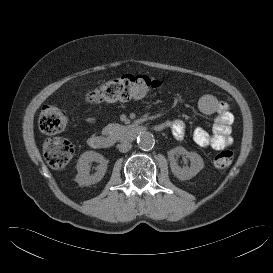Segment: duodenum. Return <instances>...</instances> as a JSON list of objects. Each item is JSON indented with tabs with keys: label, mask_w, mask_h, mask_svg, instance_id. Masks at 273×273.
<instances>
[{
	"label": "duodenum",
	"mask_w": 273,
	"mask_h": 273,
	"mask_svg": "<svg viewBox=\"0 0 273 273\" xmlns=\"http://www.w3.org/2000/svg\"><path fill=\"white\" fill-rule=\"evenodd\" d=\"M163 129L162 125L153 126V130L161 131ZM146 131V128L141 125H128L126 126L125 135L129 138H137L142 133ZM89 147L93 149H107L113 146V140L104 135H92L88 139Z\"/></svg>",
	"instance_id": "410a0bca"
}]
</instances>
